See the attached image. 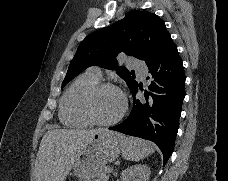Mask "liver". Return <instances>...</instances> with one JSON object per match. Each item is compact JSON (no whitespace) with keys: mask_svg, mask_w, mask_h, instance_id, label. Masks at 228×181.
Segmentation results:
<instances>
[{"mask_svg":"<svg viewBox=\"0 0 228 181\" xmlns=\"http://www.w3.org/2000/svg\"><path fill=\"white\" fill-rule=\"evenodd\" d=\"M100 131L103 129L47 131L42 137L35 161V181H64L70 173L78 153L83 151L93 135Z\"/></svg>","mask_w":228,"mask_h":181,"instance_id":"1","label":"liver"}]
</instances>
